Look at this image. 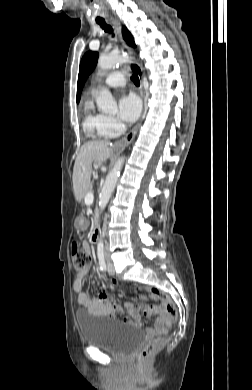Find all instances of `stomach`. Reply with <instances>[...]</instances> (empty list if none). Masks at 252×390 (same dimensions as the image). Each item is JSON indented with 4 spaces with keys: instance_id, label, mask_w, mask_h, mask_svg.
Here are the masks:
<instances>
[{
    "instance_id": "obj_1",
    "label": "stomach",
    "mask_w": 252,
    "mask_h": 390,
    "mask_svg": "<svg viewBox=\"0 0 252 390\" xmlns=\"http://www.w3.org/2000/svg\"><path fill=\"white\" fill-rule=\"evenodd\" d=\"M85 224V220L82 216H80L77 220V225H78V228H82Z\"/></svg>"
}]
</instances>
